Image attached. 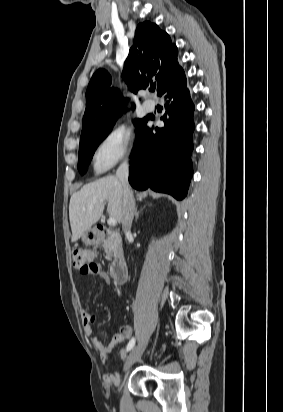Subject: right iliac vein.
I'll return each mask as SVG.
<instances>
[{
  "instance_id": "right-iliac-vein-1",
  "label": "right iliac vein",
  "mask_w": 283,
  "mask_h": 412,
  "mask_svg": "<svg viewBox=\"0 0 283 412\" xmlns=\"http://www.w3.org/2000/svg\"><path fill=\"white\" fill-rule=\"evenodd\" d=\"M147 344L148 340L144 339L134 347L125 361L124 370H128L141 357L146 349Z\"/></svg>"
}]
</instances>
